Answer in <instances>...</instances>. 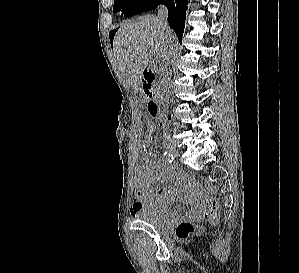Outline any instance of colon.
Wrapping results in <instances>:
<instances>
[{
	"label": "colon",
	"instance_id": "1",
	"mask_svg": "<svg viewBox=\"0 0 299 273\" xmlns=\"http://www.w3.org/2000/svg\"><path fill=\"white\" fill-rule=\"evenodd\" d=\"M150 143H151V141L146 140L147 146H149ZM202 216L205 220L212 221V222L217 219L218 206H217V202H216L215 198L209 197L208 199H206L204 207H203V211H202ZM195 231H196V228L192 223L182 222L177 225V227L175 229V234L180 239H187L191 235H193Z\"/></svg>",
	"mask_w": 299,
	"mask_h": 273
}]
</instances>
